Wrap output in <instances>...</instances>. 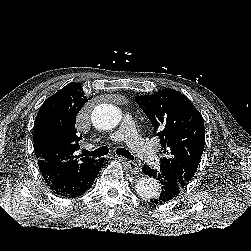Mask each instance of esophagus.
<instances>
[{
  "label": "esophagus",
  "mask_w": 251,
  "mask_h": 251,
  "mask_svg": "<svg viewBox=\"0 0 251 251\" xmlns=\"http://www.w3.org/2000/svg\"><path fill=\"white\" fill-rule=\"evenodd\" d=\"M119 160L126 161L130 171L133 174H139L141 172L140 165L134 161L126 160L124 157L116 155Z\"/></svg>",
  "instance_id": "1"
}]
</instances>
